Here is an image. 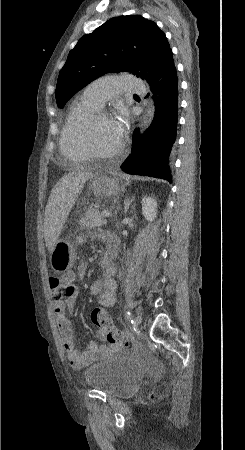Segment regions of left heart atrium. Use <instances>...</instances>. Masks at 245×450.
<instances>
[{
	"label": "left heart atrium",
	"mask_w": 245,
	"mask_h": 450,
	"mask_svg": "<svg viewBox=\"0 0 245 450\" xmlns=\"http://www.w3.org/2000/svg\"><path fill=\"white\" fill-rule=\"evenodd\" d=\"M127 115L122 112L115 120H111V126L116 138L121 142L126 130Z\"/></svg>",
	"instance_id": "39dd6f15"
}]
</instances>
